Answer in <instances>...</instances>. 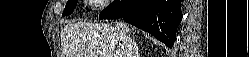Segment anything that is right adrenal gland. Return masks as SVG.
Instances as JSON below:
<instances>
[{
  "label": "right adrenal gland",
  "mask_w": 249,
  "mask_h": 57,
  "mask_svg": "<svg viewBox=\"0 0 249 57\" xmlns=\"http://www.w3.org/2000/svg\"><path fill=\"white\" fill-rule=\"evenodd\" d=\"M133 46H134V48H135L137 57H139V56H140V54H139V51H140V50H139V48H138L137 43H136L135 40H133Z\"/></svg>",
  "instance_id": "obj_1"
}]
</instances>
